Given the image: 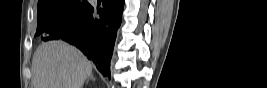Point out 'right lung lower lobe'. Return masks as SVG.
Instances as JSON below:
<instances>
[{
	"label": "right lung lower lobe",
	"mask_w": 267,
	"mask_h": 88,
	"mask_svg": "<svg viewBox=\"0 0 267 88\" xmlns=\"http://www.w3.org/2000/svg\"><path fill=\"white\" fill-rule=\"evenodd\" d=\"M103 8L94 17V8L89 7L72 23L61 25L52 39H62L78 47L97 69L110 76L117 30L121 24L124 0H103Z\"/></svg>",
	"instance_id": "obj_1"
}]
</instances>
